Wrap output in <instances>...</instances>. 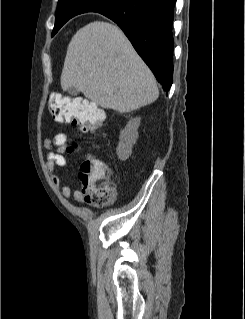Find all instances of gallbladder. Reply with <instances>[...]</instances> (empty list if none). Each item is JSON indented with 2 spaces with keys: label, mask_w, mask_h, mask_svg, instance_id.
<instances>
[{
  "label": "gallbladder",
  "mask_w": 245,
  "mask_h": 319,
  "mask_svg": "<svg viewBox=\"0 0 245 319\" xmlns=\"http://www.w3.org/2000/svg\"><path fill=\"white\" fill-rule=\"evenodd\" d=\"M68 93L73 95V96H76V95L79 94V90L74 88V87H71V88L68 89Z\"/></svg>",
  "instance_id": "gallbladder-1"
}]
</instances>
